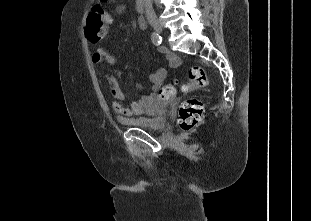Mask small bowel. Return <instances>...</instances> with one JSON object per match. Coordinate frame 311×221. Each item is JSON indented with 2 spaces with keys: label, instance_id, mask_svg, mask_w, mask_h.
I'll use <instances>...</instances> for the list:
<instances>
[{
  "label": "small bowel",
  "instance_id": "small-bowel-1",
  "mask_svg": "<svg viewBox=\"0 0 311 221\" xmlns=\"http://www.w3.org/2000/svg\"><path fill=\"white\" fill-rule=\"evenodd\" d=\"M122 7H118L117 12L120 13L122 11ZM140 28V27H139ZM163 52L166 53V50L163 49ZM168 60L171 63L175 62V57L171 54L167 55ZM93 62L101 67L104 64H114L116 59L115 57L109 52L106 47H99L93 54ZM166 70L165 68H158L154 72L150 73L149 79L153 85V89H158L161 87L163 81L166 78ZM104 77L108 83L110 94L112 95L113 99L111 101V108L116 115L119 117H132L135 115L142 114L145 111L146 105L151 99V96H143L136 101L131 102L129 105H124V94L120 89L118 80L116 76L111 73H104Z\"/></svg>",
  "mask_w": 311,
  "mask_h": 221
}]
</instances>
